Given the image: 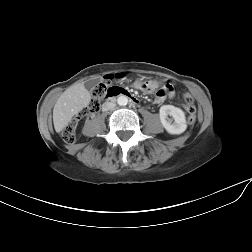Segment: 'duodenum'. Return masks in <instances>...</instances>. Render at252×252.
I'll list each match as a JSON object with an SVG mask.
<instances>
[{"label": "duodenum", "instance_id": "duodenum-1", "mask_svg": "<svg viewBox=\"0 0 252 252\" xmlns=\"http://www.w3.org/2000/svg\"><path fill=\"white\" fill-rule=\"evenodd\" d=\"M118 96H125L129 99V101L132 103V104H135L137 105L139 103L138 99L136 96H134L133 94H131L130 92L122 89V90H118L117 92H114L112 94H110L107 99L108 100H111V99H114Z\"/></svg>", "mask_w": 252, "mask_h": 252}]
</instances>
